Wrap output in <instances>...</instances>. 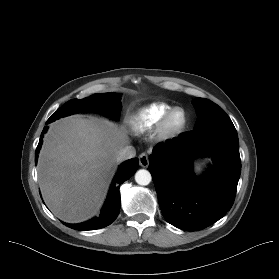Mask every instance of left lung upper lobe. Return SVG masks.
Returning a JSON list of instances; mask_svg holds the SVG:
<instances>
[{
  "instance_id": "obj_1",
  "label": "left lung upper lobe",
  "mask_w": 279,
  "mask_h": 279,
  "mask_svg": "<svg viewBox=\"0 0 279 279\" xmlns=\"http://www.w3.org/2000/svg\"><path fill=\"white\" fill-rule=\"evenodd\" d=\"M193 105L198 114L194 129L213 125H233L226 112L214 102L197 97L193 100Z\"/></svg>"
}]
</instances>
